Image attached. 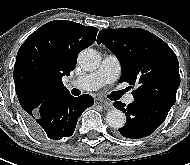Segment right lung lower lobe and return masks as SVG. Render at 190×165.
Listing matches in <instances>:
<instances>
[{
    "label": "right lung lower lobe",
    "mask_w": 190,
    "mask_h": 165,
    "mask_svg": "<svg viewBox=\"0 0 190 165\" xmlns=\"http://www.w3.org/2000/svg\"><path fill=\"white\" fill-rule=\"evenodd\" d=\"M93 103L88 94L73 97L69 91L55 92L33 112H23V118L37 136L60 140L74 133L78 118Z\"/></svg>",
    "instance_id": "right-lung-lower-lobe-1"
}]
</instances>
